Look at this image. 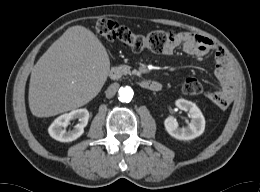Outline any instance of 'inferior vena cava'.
Instances as JSON below:
<instances>
[{"mask_svg": "<svg viewBox=\"0 0 260 192\" xmlns=\"http://www.w3.org/2000/svg\"><path fill=\"white\" fill-rule=\"evenodd\" d=\"M118 84L117 83H114V84H112V85H110L109 87H108V89L106 90V97L107 98H112L114 95H115V93H116V91H117V89H118Z\"/></svg>", "mask_w": 260, "mask_h": 192, "instance_id": "602c4592", "label": "inferior vena cava"}]
</instances>
